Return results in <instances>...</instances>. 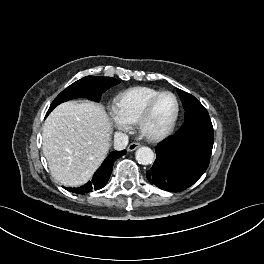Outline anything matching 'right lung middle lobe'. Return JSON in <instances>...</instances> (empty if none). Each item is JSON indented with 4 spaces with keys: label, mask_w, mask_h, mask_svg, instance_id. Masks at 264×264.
Wrapping results in <instances>:
<instances>
[{
    "label": "right lung middle lobe",
    "mask_w": 264,
    "mask_h": 264,
    "mask_svg": "<svg viewBox=\"0 0 264 264\" xmlns=\"http://www.w3.org/2000/svg\"><path fill=\"white\" fill-rule=\"evenodd\" d=\"M119 83L112 77L86 76L67 87L52 102L46 116L60 103L70 99L85 97L99 101L101 95L110 87Z\"/></svg>",
    "instance_id": "right-lung-middle-lobe-1"
}]
</instances>
